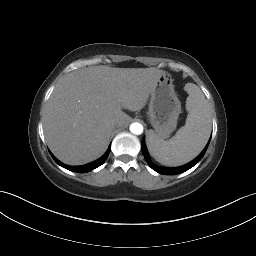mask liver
<instances>
[{
	"instance_id": "liver-1",
	"label": "liver",
	"mask_w": 256,
	"mask_h": 256,
	"mask_svg": "<svg viewBox=\"0 0 256 256\" xmlns=\"http://www.w3.org/2000/svg\"><path fill=\"white\" fill-rule=\"evenodd\" d=\"M162 73L153 67L104 65L68 73L55 86L42 117L52 153L69 165L99 158L115 126L130 120L122 108L141 110Z\"/></svg>"
}]
</instances>
